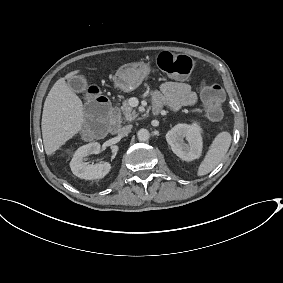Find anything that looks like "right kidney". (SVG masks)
<instances>
[{"instance_id": "right-kidney-1", "label": "right kidney", "mask_w": 283, "mask_h": 283, "mask_svg": "<svg viewBox=\"0 0 283 283\" xmlns=\"http://www.w3.org/2000/svg\"><path fill=\"white\" fill-rule=\"evenodd\" d=\"M99 152L100 144L97 142L81 146L77 149L69 164L70 169L76 176L83 179L98 180L104 178L111 170L110 162L96 165L85 163L88 156L98 154Z\"/></svg>"}]
</instances>
